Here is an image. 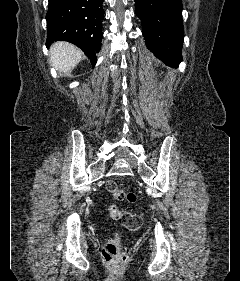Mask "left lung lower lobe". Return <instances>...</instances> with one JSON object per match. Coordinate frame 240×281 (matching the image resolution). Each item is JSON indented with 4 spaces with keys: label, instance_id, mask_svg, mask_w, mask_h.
Wrapping results in <instances>:
<instances>
[{
    "label": "left lung lower lobe",
    "instance_id": "1",
    "mask_svg": "<svg viewBox=\"0 0 240 281\" xmlns=\"http://www.w3.org/2000/svg\"><path fill=\"white\" fill-rule=\"evenodd\" d=\"M147 48L167 65L182 61L183 23L181 0H134Z\"/></svg>",
    "mask_w": 240,
    "mask_h": 281
}]
</instances>
